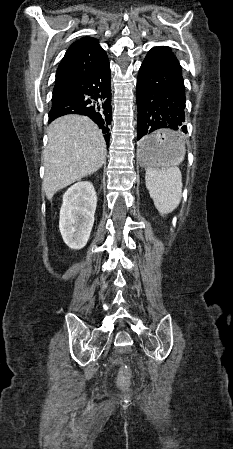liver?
<instances>
[{
  "label": "liver",
  "mask_w": 233,
  "mask_h": 449,
  "mask_svg": "<svg viewBox=\"0 0 233 449\" xmlns=\"http://www.w3.org/2000/svg\"><path fill=\"white\" fill-rule=\"evenodd\" d=\"M106 158V144L97 125L88 117L66 115L48 128V145L43 154L42 182L48 200L56 192L95 173Z\"/></svg>",
  "instance_id": "liver-1"
}]
</instances>
